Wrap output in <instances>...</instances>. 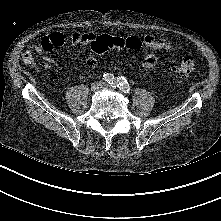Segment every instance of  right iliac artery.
I'll use <instances>...</instances> for the list:
<instances>
[{
    "label": "right iliac artery",
    "mask_w": 221,
    "mask_h": 221,
    "mask_svg": "<svg viewBox=\"0 0 221 221\" xmlns=\"http://www.w3.org/2000/svg\"><path fill=\"white\" fill-rule=\"evenodd\" d=\"M103 80H105L107 83L109 84H114L115 82V78H114V75L111 74V73H106L103 75Z\"/></svg>",
    "instance_id": "1"
}]
</instances>
